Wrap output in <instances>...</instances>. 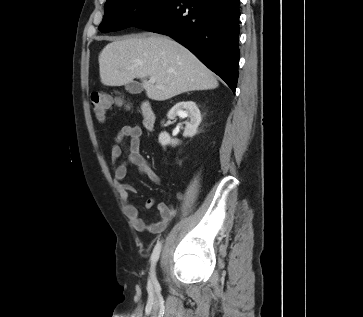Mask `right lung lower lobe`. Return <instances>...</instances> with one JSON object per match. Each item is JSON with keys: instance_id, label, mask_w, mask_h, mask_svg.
<instances>
[{"instance_id": "right-lung-lower-lobe-1", "label": "right lung lower lobe", "mask_w": 363, "mask_h": 317, "mask_svg": "<svg viewBox=\"0 0 363 317\" xmlns=\"http://www.w3.org/2000/svg\"><path fill=\"white\" fill-rule=\"evenodd\" d=\"M240 0H176L135 27L165 34L188 48L235 92Z\"/></svg>"}]
</instances>
